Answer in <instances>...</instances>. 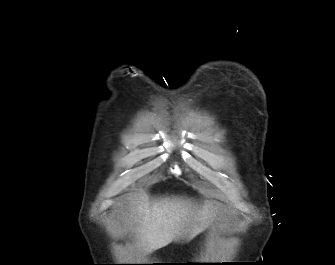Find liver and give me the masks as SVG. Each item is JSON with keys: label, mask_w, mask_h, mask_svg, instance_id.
<instances>
[{"label": "liver", "mask_w": 335, "mask_h": 265, "mask_svg": "<svg viewBox=\"0 0 335 265\" xmlns=\"http://www.w3.org/2000/svg\"><path fill=\"white\" fill-rule=\"evenodd\" d=\"M135 211L142 245L148 253L172 241L190 240L212 219L208 206L199 209L197 204L182 197L149 201L147 196H142Z\"/></svg>", "instance_id": "1"}]
</instances>
